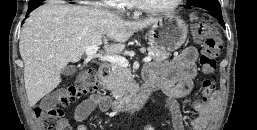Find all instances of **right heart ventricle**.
<instances>
[{"label": "right heart ventricle", "mask_w": 257, "mask_h": 130, "mask_svg": "<svg viewBox=\"0 0 257 130\" xmlns=\"http://www.w3.org/2000/svg\"><path fill=\"white\" fill-rule=\"evenodd\" d=\"M133 3H134V1H133V0H130L129 6H132Z\"/></svg>", "instance_id": "right-heart-ventricle-1"}]
</instances>
